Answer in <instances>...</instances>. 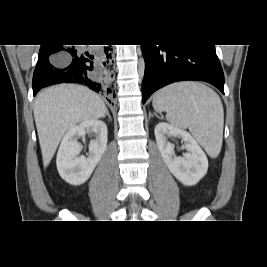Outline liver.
Returning <instances> with one entry per match:
<instances>
[{
	"label": "liver",
	"mask_w": 267,
	"mask_h": 267,
	"mask_svg": "<svg viewBox=\"0 0 267 267\" xmlns=\"http://www.w3.org/2000/svg\"><path fill=\"white\" fill-rule=\"evenodd\" d=\"M106 111L99 96L83 86L63 84L40 93L34 118L44 167L49 165L68 130L80 122L103 118Z\"/></svg>",
	"instance_id": "obj_1"
}]
</instances>
